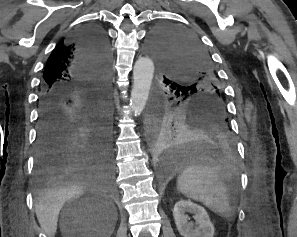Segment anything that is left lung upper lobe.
Instances as JSON below:
<instances>
[{
    "instance_id": "1",
    "label": "left lung upper lobe",
    "mask_w": 297,
    "mask_h": 237,
    "mask_svg": "<svg viewBox=\"0 0 297 237\" xmlns=\"http://www.w3.org/2000/svg\"><path fill=\"white\" fill-rule=\"evenodd\" d=\"M149 50L166 75L163 83L174 103H210L227 115L211 58L196 36L171 25L157 27L150 35Z\"/></svg>"
}]
</instances>
